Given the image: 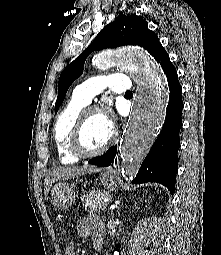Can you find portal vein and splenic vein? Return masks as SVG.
I'll list each match as a JSON object with an SVG mask.
<instances>
[{"mask_svg":"<svg viewBox=\"0 0 221 255\" xmlns=\"http://www.w3.org/2000/svg\"><path fill=\"white\" fill-rule=\"evenodd\" d=\"M106 201H107V200H105V203H107ZM109 208H110V209H114V208H115V205H111Z\"/></svg>","mask_w":221,"mask_h":255,"instance_id":"portal-vein-and-splenic-vein-1","label":"portal vein and splenic vein"}]
</instances>
